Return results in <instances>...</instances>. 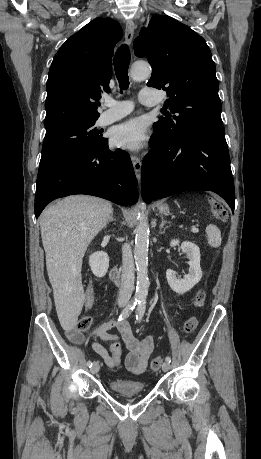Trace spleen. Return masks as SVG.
Wrapping results in <instances>:
<instances>
[{
  "mask_svg": "<svg viewBox=\"0 0 261 459\" xmlns=\"http://www.w3.org/2000/svg\"><path fill=\"white\" fill-rule=\"evenodd\" d=\"M207 242L211 247L217 248L221 245V232L219 228L213 224L206 227Z\"/></svg>",
  "mask_w": 261,
  "mask_h": 459,
  "instance_id": "obj_1",
  "label": "spleen"
}]
</instances>
